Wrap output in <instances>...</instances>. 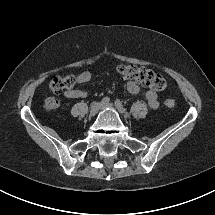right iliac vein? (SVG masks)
I'll return each instance as SVG.
<instances>
[{
  "instance_id": "right-iliac-vein-1",
  "label": "right iliac vein",
  "mask_w": 215,
  "mask_h": 215,
  "mask_svg": "<svg viewBox=\"0 0 215 215\" xmlns=\"http://www.w3.org/2000/svg\"><path fill=\"white\" fill-rule=\"evenodd\" d=\"M100 108H101L100 103L94 102L90 107V111H89L90 117H94L98 113Z\"/></svg>"
}]
</instances>
